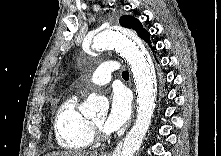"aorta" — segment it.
I'll return each mask as SVG.
<instances>
[{
  "label": "aorta",
  "instance_id": "762f6f07",
  "mask_svg": "<svg viewBox=\"0 0 221 156\" xmlns=\"http://www.w3.org/2000/svg\"><path fill=\"white\" fill-rule=\"evenodd\" d=\"M96 51L115 49L127 61L133 74L137 94V117L126 135L120 152L113 156H133L140 147L150 126L155 109L157 83L155 69L148 51L141 40L130 30L108 27L93 37ZM106 98L91 94L81 106V113L88 118L104 115L108 109Z\"/></svg>",
  "mask_w": 221,
  "mask_h": 156
}]
</instances>
